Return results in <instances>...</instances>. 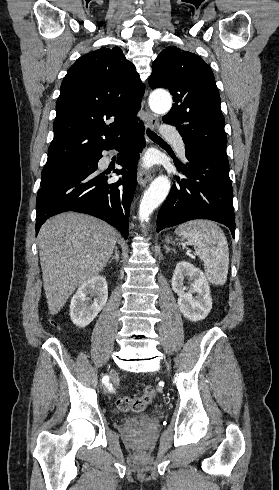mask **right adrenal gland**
Returning a JSON list of instances; mask_svg holds the SVG:
<instances>
[{
	"label": "right adrenal gland",
	"instance_id": "right-adrenal-gland-1",
	"mask_svg": "<svg viewBox=\"0 0 279 490\" xmlns=\"http://www.w3.org/2000/svg\"><path fill=\"white\" fill-rule=\"evenodd\" d=\"M114 252H115V254H114L113 258H111V260H109L108 264H112L113 260H115V262H119L120 256H119V252H118L117 246H115Z\"/></svg>",
	"mask_w": 279,
	"mask_h": 490
}]
</instances>
